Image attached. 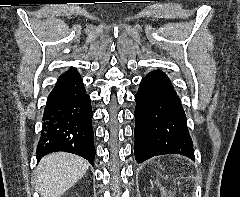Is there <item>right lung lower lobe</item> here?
<instances>
[{"label":"right lung lower lobe","instance_id":"obj_1","mask_svg":"<svg viewBox=\"0 0 240 197\" xmlns=\"http://www.w3.org/2000/svg\"><path fill=\"white\" fill-rule=\"evenodd\" d=\"M92 116L90 97L82 78L76 69L70 68L60 76L48 96L36 150L38 161L49 153L65 151L93 165L96 151Z\"/></svg>","mask_w":240,"mask_h":197}]
</instances>
